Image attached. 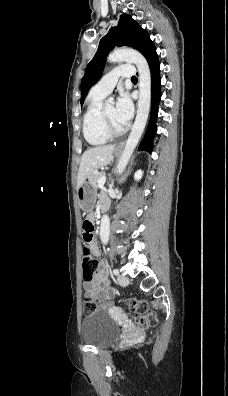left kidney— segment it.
<instances>
[{
    "mask_svg": "<svg viewBox=\"0 0 228 396\" xmlns=\"http://www.w3.org/2000/svg\"><path fill=\"white\" fill-rule=\"evenodd\" d=\"M142 175H143V171H142V170H138V171H136V173L134 174V178H135L136 180H139V179L142 178Z\"/></svg>",
    "mask_w": 228,
    "mask_h": 396,
    "instance_id": "left-kidney-1",
    "label": "left kidney"
}]
</instances>
